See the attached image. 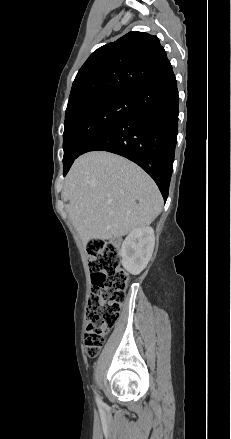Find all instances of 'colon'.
Masks as SVG:
<instances>
[{
    "mask_svg": "<svg viewBox=\"0 0 231 439\" xmlns=\"http://www.w3.org/2000/svg\"><path fill=\"white\" fill-rule=\"evenodd\" d=\"M87 253L94 289L88 302L84 344L87 355L95 358L119 318L129 277L121 267L119 250L114 243L92 241Z\"/></svg>",
    "mask_w": 231,
    "mask_h": 439,
    "instance_id": "colon-1",
    "label": "colon"
}]
</instances>
